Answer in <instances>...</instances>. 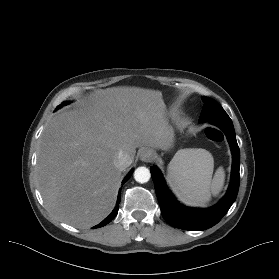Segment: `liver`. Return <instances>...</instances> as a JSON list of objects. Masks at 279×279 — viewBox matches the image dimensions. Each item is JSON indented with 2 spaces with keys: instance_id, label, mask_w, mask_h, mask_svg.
<instances>
[{
  "instance_id": "liver-1",
  "label": "liver",
  "mask_w": 279,
  "mask_h": 279,
  "mask_svg": "<svg viewBox=\"0 0 279 279\" xmlns=\"http://www.w3.org/2000/svg\"><path fill=\"white\" fill-rule=\"evenodd\" d=\"M160 91L114 87L98 91L76 110L56 114L40 138L36 176L47 210L79 229L113 209L121 180L120 152L167 150L173 143Z\"/></svg>"
}]
</instances>
